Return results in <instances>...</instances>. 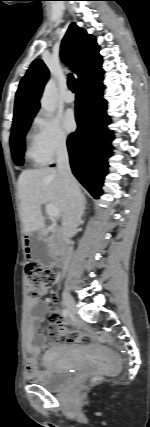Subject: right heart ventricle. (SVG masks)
Returning a JSON list of instances; mask_svg holds the SVG:
<instances>
[{
  "mask_svg": "<svg viewBox=\"0 0 150 427\" xmlns=\"http://www.w3.org/2000/svg\"><path fill=\"white\" fill-rule=\"evenodd\" d=\"M25 158L34 165H42L46 162L37 144L36 134L28 132L25 137Z\"/></svg>",
  "mask_w": 150,
  "mask_h": 427,
  "instance_id": "right-heart-ventricle-1",
  "label": "right heart ventricle"
}]
</instances>
